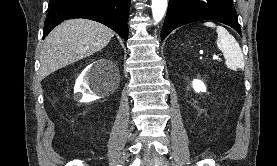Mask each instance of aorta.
Segmentation results:
<instances>
[{
  "label": "aorta",
  "mask_w": 277,
  "mask_h": 166,
  "mask_svg": "<svg viewBox=\"0 0 277 166\" xmlns=\"http://www.w3.org/2000/svg\"><path fill=\"white\" fill-rule=\"evenodd\" d=\"M151 7L154 21L160 22L167 9V0H152Z\"/></svg>",
  "instance_id": "1"
}]
</instances>
